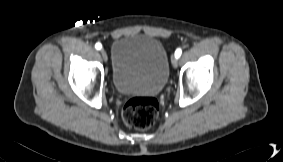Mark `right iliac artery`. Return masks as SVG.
Segmentation results:
<instances>
[{
	"instance_id": "1",
	"label": "right iliac artery",
	"mask_w": 283,
	"mask_h": 162,
	"mask_svg": "<svg viewBox=\"0 0 283 162\" xmlns=\"http://www.w3.org/2000/svg\"><path fill=\"white\" fill-rule=\"evenodd\" d=\"M95 48H96L97 50H100V49L102 48L101 43H96V44H95Z\"/></svg>"
}]
</instances>
